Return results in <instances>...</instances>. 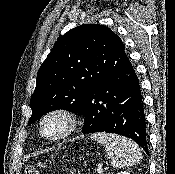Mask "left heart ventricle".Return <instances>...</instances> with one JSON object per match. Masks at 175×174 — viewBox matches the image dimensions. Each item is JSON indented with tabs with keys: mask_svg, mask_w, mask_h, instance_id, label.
Wrapping results in <instances>:
<instances>
[{
	"mask_svg": "<svg viewBox=\"0 0 175 174\" xmlns=\"http://www.w3.org/2000/svg\"><path fill=\"white\" fill-rule=\"evenodd\" d=\"M66 127V121L60 116L49 118L44 124V131L49 136H55L61 133Z\"/></svg>",
	"mask_w": 175,
	"mask_h": 174,
	"instance_id": "obj_1",
	"label": "left heart ventricle"
}]
</instances>
